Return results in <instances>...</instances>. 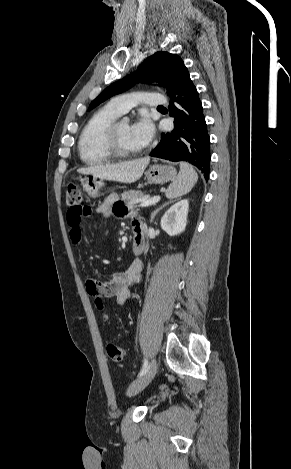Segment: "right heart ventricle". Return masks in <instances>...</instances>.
<instances>
[{
  "instance_id": "e07e8e85",
  "label": "right heart ventricle",
  "mask_w": 291,
  "mask_h": 469,
  "mask_svg": "<svg viewBox=\"0 0 291 469\" xmlns=\"http://www.w3.org/2000/svg\"><path fill=\"white\" fill-rule=\"evenodd\" d=\"M120 113L111 103L95 111L84 125L79 139L78 152L88 165H99L112 159L105 143L109 125L119 118Z\"/></svg>"
}]
</instances>
